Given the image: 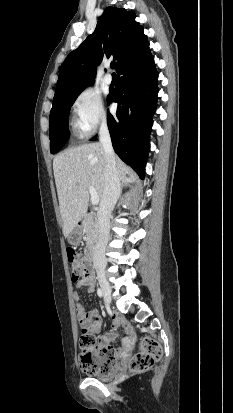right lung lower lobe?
Wrapping results in <instances>:
<instances>
[{"mask_svg": "<svg viewBox=\"0 0 233 413\" xmlns=\"http://www.w3.org/2000/svg\"><path fill=\"white\" fill-rule=\"evenodd\" d=\"M116 71L121 76L120 87L108 96L109 104L118 103L116 115H107L112 145L143 179L158 95V74L149 43L123 61Z\"/></svg>", "mask_w": 233, "mask_h": 413, "instance_id": "right-lung-lower-lobe-1", "label": "right lung lower lobe"}]
</instances>
